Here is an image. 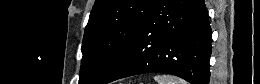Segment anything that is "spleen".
Returning a JSON list of instances; mask_svg holds the SVG:
<instances>
[{
  "mask_svg": "<svg viewBox=\"0 0 260 84\" xmlns=\"http://www.w3.org/2000/svg\"><path fill=\"white\" fill-rule=\"evenodd\" d=\"M154 79L158 84H187L183 79L173 75H156Z\"/></svg>",
  "mask_w": 260,
  "mask_h": 84,
  "instance_id": "3e777b00",
  "label": "spleen"
}]
</instances>
